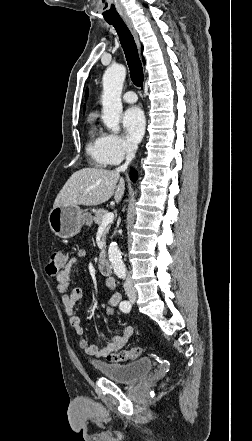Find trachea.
<instances>
[{
  "mask_svg": "<svg viewBox=\"0 0 252 441\" xmlns=\"http://www.w3.org/2000/svg\"><path fill=\"white\" fill-rule=\"evenodd\" d=\"M108 24L113 25L118 33L120 43L126 56L132 82L137 87H143V67L133 35L122 19L108 21Z\"/></svg>",
  "mask_w": 252,
  "mask_h": 441,
  "instance_id": "1",
  "label": "trachea"
}]
</instances>
